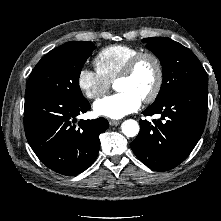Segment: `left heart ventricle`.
I'll list each match as a JSON object with an SVG mask.
<instances>
[{
	"instance_id": "b2bd125f",
	"label": "left heart ventricle",
	"mask_w": 221,
	"mask_h": 221,
	"mask_svg": "<svg viewBox=\"0 0 221 221\" xmlns=\"http://www.w3.org/2000/svg\"><path fill=\"white\" fill-rule=\"evenodd\" d=\"M155 80L156 68L154 63L150 59H144L140 62L130 78L119 79L116 81V89L119 92H133L143 99L151 92Z\"/></svg>"
}]
</instances>
